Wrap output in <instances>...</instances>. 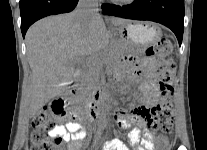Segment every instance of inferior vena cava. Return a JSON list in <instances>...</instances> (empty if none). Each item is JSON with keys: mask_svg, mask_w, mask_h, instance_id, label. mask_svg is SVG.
<instances>
[{"mask_svg": "<svg viewBox=\"0 0 207 150\" xmlns=\"http://www.w3.org/2000/svg\"><path fill=\"white\" fill-rule=\"evenodd\" d=\"M75 15L80 22L87 23L98 15V0H79Z\"/></svg>", "mask_w": 207, "mask_h": 150, "instance_id": "1", "label": "inferior vena cava"}]
</instances>
